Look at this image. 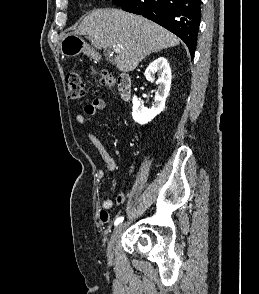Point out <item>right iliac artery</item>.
<instances>
[{"label": "right iliac artery", "instance_id": "1", "mask_svg": "<svg viewBox=\"0 0 259 294\" xmlns=\"http://www.w3.org/2000/svg\"><path fill=\"white\" fill-rule=\"evenodd\" d=\"M123 220H124V217H123V216L117 218V219L115 220V222H114V225H115V226L119 225L121 222H123Z\"/></svg>", "mask_w": 259, "mask_h": 294}]
</instances>
